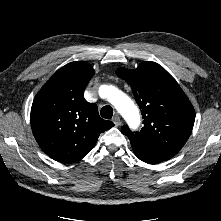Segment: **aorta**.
<instances>
[{
  "label": "aorta",
  "mask_w": 221,
  "mask_h": 221,
  "mask_svg": "<svg viewBox=\"0 0 221 221\" xmlns=\"http://www.w3.org/2000/svg\"><path fill=\"white\" fill-rule=\"evenodd\" d=\"M99 93L100 95H105L132 129H136L139 126L140 114L138 108L127 95L110 85H102L99 88Z\"/></svg>",
  "instance_id": "obj_1"
}]
</instances>
